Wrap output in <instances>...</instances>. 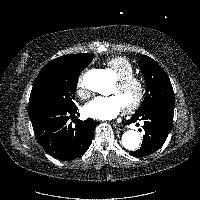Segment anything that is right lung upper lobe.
Instances as JSON below:
<instances>
[{
    "instance_id": "obj_1",
    "label": "right lung upper lobe",
    "mask_w": 200,
    "mask_h": 200,
    "mask_svg": "<svg viewBox=\"0 0 200 200\" xmlns=\"http://www.w3.org/2000/svg\"><path fill=\"white\" fill-rule=\"evenodd\" d=\"M85 53L82 54H69L58 57L44 66L40 74H57L64 70L75 67Z\"/></svg>"
}]
</instances>
